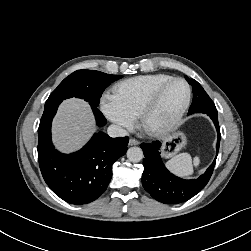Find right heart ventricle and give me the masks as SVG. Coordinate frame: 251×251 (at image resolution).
Masks as SVG:
<instances>
[{
  "mask_svg": "<svg viewBox=\"0 0 251 251\" xmlns=\"http://www.w3.org/2000/svg\"><path fill=\"white\" fill-rule=\"evenodd\" d=\"M170 78L172 76L167 74L136 76L118 83L114 87V94L122 106L136 118L152 92Z\"/></svg>",
  "mask_w": 251,
  "mask_h": 251,
  "instance_id": "right-heart-ventricle-1",
  "label": "right heart ventricle"
}]
</instances>
